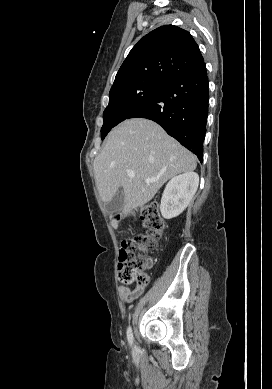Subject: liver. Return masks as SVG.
<instances>
[{"mask_svg": "<svg viewBox=\"0 0 272 389\" xmlns=\"http://www.w3.org/2000/svg\"><path fill=\"white\" fill-rule=\"evenodd\" d=\"M196 157L157 123L143 118L125 120L107 136L93 167L104 203L122 188L124 213L149 202L170 178L196 169ZM134 171L135 177L127 175ZM153 180L147 183L146 180ZM115 227L118 223L115 222Z\"/></svg>", "mask_w": 272, "mask_h": 389, "instance_id": "1", "label": "liver"}]
</instances>
